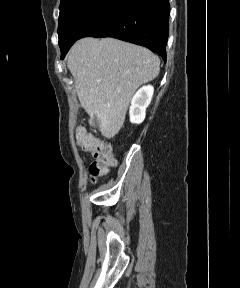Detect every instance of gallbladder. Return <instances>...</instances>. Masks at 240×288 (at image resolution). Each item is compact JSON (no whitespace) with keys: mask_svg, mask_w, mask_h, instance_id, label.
<instances>
[{"mask_svg":"<svg viewBox=\"0 0 240 288\" xmlns=\"http://www.w3.org/2000/svg\"><path fill=\"white\" fill-rule=\"evenodd\" d=\"M93 121H94V122L97 121L95 117L93 118Z\"/></svg>","mask_w":240,"mask_h":288,"instance_id":"1","label":"gallbladder"}]
</instances>
